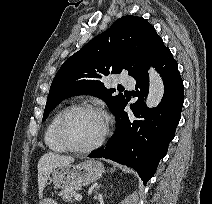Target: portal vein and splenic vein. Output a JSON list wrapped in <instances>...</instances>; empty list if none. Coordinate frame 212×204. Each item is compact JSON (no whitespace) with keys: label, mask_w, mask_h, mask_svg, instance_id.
I'll return each mask as SVG.
<instances>
[{"label":"portal vein and splenic vein","mask_w":212,"mask_h":204,"mask_svg":"<svg viewBox=\"0 0 212 204\" xmlns=\"http://www.w3.org/2000/svg\"><path fill=\"white\" fill-rule=\"evenodd\" d=\"M75 199H76L77 201H81V200H82V196H81L80 194H76V195H75Z\"/></svg>","instance_id":"portal-vein-and-splenic-vein-1"}]
</instances>
